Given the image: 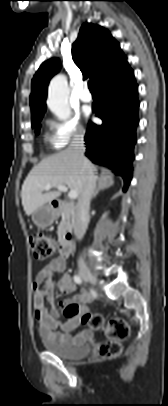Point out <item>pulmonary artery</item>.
Masks as SVG:
<instances>
[{"label": "pulmonary artery", "instance_id": "e3ab8cb5", "mask_svg": "<svg viewBox=\"0 0 168 406\" xmlns=\"http://www.w3.org/2000/svg\"><path fill=\"white\" fill-rule=\"evenodd\" d=\"M80 99L81 101L85 102V103H89L92 101V94L90 93V91L88 90V88L85 86L81 92L80 95Z\"/></svg>", "mask_w": 168, "mask_h": 406}]
</instances>
